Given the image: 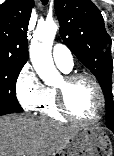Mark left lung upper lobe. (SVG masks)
I'll use <instances>...</instances> for the list:
<instances>
[{
  "mask_svg": "<svg viewBox=\"0 0 114 156\" xmlns=\"http://www.w3.org/2000/svg\"><path fill=\"white\" fill-rule=\"evenodd\" d=\"M55 9L61 38L97 78L105 96L106 125L114 127L111 37L101 12L90 0H55Z\"/></svg>",
  "mask_w": 114,
  "mask_h": 156,
  "instance_id": "left-lung-upper-lobe-1",
  "label": "left lung upper lobe"
}]
</instances>
